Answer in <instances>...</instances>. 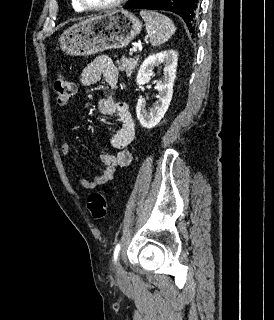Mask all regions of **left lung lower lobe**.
<instances>
[{"mask_svg": "<svg viewBox=\"0 0 274 320\" xmlns=\"http://www.w3.org/2000/svg\"><path fill=\"white\" fill-rule=\"evenodd\" d=\"M199 0H130L124 8L172 11L180 15L190 28L198 13Z\"/></svg>", "mask_w": 274, "mask_h": 320, "instance_id": "1", "label": "left lung lower lobe"}]
</instances>
